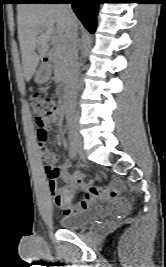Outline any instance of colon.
Segmentation results:
<instances>
[{"label":"colon","mask_w":166,"mask_h":267,"mask_svg":"<svg viewBox=\"0 0 166 267\" xmlns=\"http://www.w3.org/2000/svg\"><path fill=\"white\" fill-rule=\"evenodd\" d=\"M29 101L32 107L33 117L35 120L37 140L40 144V148L44 151L45 141L47 138V130L44 124V119L47 116L52 115L56 111L57 104L54 99L42 96L38 92L32 93L29 97ZM44 168L49 178L53 179L58 176L57 168L54 167L51 162L46 161Z\"/></svg>","instance_id":"colon-1"}]
</instances>
